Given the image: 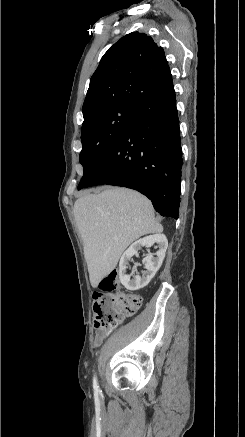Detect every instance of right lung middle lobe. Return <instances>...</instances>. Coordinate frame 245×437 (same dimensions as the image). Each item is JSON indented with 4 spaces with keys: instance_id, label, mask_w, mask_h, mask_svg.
Returning <instances> with one entry per match:
<instances>
[{
    "instance_id": "obj_1",
    "label": "right lung middle lobe",
    "mask_w": 245,
    "mask_h": 437,
    "mask_svg": "<svg viewBox=\"0 0 245 437\" xmlns=\"http://www.w3.org/2000/svg\"><path fill=\"white\" fill-rule=\"evenodd\" d=\"M137 110V105L117 102L93 110L81 128L80 163L84 174L78 185L109 154Z\"/></svg>"
}]
</instances>
